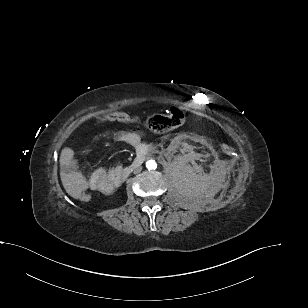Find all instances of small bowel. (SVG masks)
<instances>
[{"instance_id":"obj_1","label":"small bowel","mask_w":308,"mask_h":308,"mask_svg":"<svg viewBox=\"0 0 308 308\" xmlns=\"http://www.w3.org/2000/svg\"><path fill=\"white\" fill-rule=\"evenodd\" d=\"M116 139L138 148L142 145V140L136 131H124L116 135ZM60 162L63 171L72 182V193L74 195L83 191H98L111 193L119 184L120 167L111 169L99 168L94 170L89 176H85L77 166L73 152L65 149L61 153Z\"/></svg>"}]
</instances>
